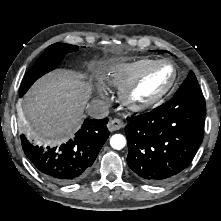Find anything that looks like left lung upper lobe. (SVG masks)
Returning a JSON list of instances; mask_svg holds the SVG:
<instances>
[{
  "label": "left lung upper lobe",
  "instance_id": "obj_1",
  "mask_svg": "<svg viewBox=\"0 0 221 221\" xmlns=\"http://www.w3.org/2000/svg\"><path fill=\"white\" fill-rule=\"evenodd\" d=\"M174 107L194 106L205 108V100L195 74L190 71L170 101Z\"/></svg>",
  "mask_w": 221,
  "mask_h": 221
}]
</instances>
